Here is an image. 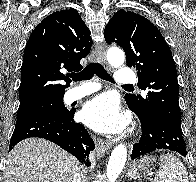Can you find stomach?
Returning <instances> with one entry per match:
<instances>
[{"instance_id":"1","label":"stomach","mask_w":196,"mask_h":182,"mask_svg":"<svg viewBox=\"0 0 196 182\" xmlns=\"http://www.w3.org/2000/svg\"><path fill=\"white\" fill-rule=\"evenodd\" d=\"M146 169V166L144 165H133L129 171H128V177H130L131 179H136L137 177H139L142 172Z\"/></svg>"}]
</instances>
